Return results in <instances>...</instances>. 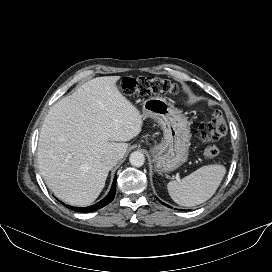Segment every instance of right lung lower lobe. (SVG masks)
<instances>
[{"label": "right lung lower lobe", "instance_id": "right-lung-lower-lobe-1", "mask_svg": "<svg viewBox=\"0 0 272 272\" xmlns=\"http://www.w3.org/2000/svg\"><path fill=\"white\" fill-rule=\"evenodd\" d=\"M115 193H116V177H115V179L113 181L111 191L100 202H98V203H96V204H94L92 206L84 207V208L83 207H73V206H68V205H67V207H69L72 210H75L77 212H83V213L95 211V210H97L99 208H102V207L106 206L107 204H109L114 199Z\"/></svg>", "mask_w": 272, "mask_h": 272}]
</instances>
